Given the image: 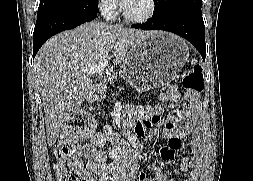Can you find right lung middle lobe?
I'll return each instance as SVG.
<instances>
[{"label": "right lung middle lobe", "instance_id": "dd1d6c3e", "mask_svg": "<svg viewBox=\"0 0 253 181\" xmlns=\"http://www.w3.org/2000/svg\"><path fill=\"white\" fill-rule=\"evenodd\" d=\"M75 2H84L89 6L98 7L97 0H40L38 12L47 10L49 8H53L56 6L68 4V3H75Z\"/></svg>", "mask_w": 253, "mask_h": 181}]
</instances>
